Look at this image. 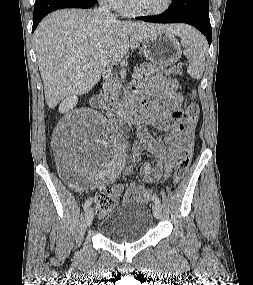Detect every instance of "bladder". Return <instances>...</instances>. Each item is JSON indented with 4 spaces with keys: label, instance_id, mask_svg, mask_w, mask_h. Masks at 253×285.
<instances>
[{
    "label": "bladder",
    "instance_id": "31cf9c89",
    "mask_svg": "<svg viewBox=\"0 0 253 285\" xmlns=\"http://www.w3.org/2000/svg\"><path fill=\"white\" fill-rule=\"evenodd\" d=\"M152 226L153 214L147 205L124 201L104 213L99 230L110 241L132 243L144 238Z\"/></svg>",
    "mask_w": 253,
    "mask_h": 285
}]
</instances>
